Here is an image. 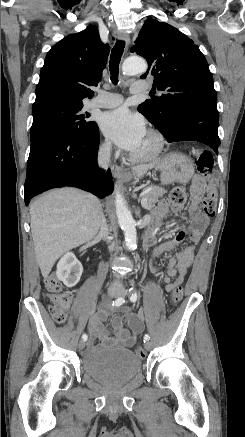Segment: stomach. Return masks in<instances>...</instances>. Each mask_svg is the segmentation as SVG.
I'll list each match as a JSON object with an SVG mask.
<instances>
[{
  "label": "stomach",
  "instance_id": "obj_1",
  "mask_svg": "<svg viewBox=\"0 0 245 437\" xmlns=\"http://www.w3.org/2000/svg\"><path fill=\"white\" fill-rule=\"evenodd\" d=\"M155 169L161 171L162 184L187 183L194 174L191 160L182 153H170L156 165ZM131 176L128 177L130 179Z\"/></svg>",
  "mask_w": 245,
  "mask_h": 437
}]
</instances>
